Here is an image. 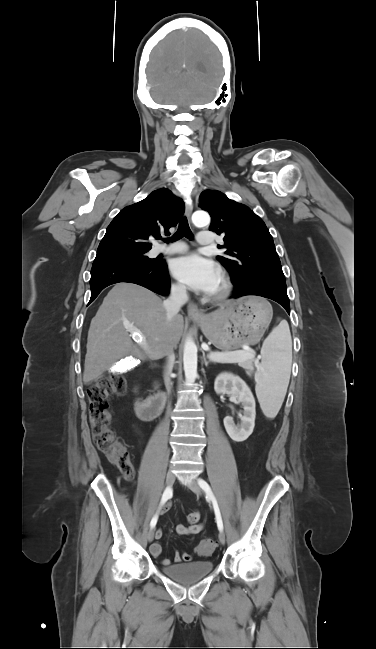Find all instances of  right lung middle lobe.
Wrapping results in <instances>:
<instances>
[{"instance_id": "right-lung-middle-lobe-1", "label": "right lung middle lobe", "mask_w": 376, "mask_h": 649, "mask_svg": "<svg viewBox=\"0 0 376 649\" xmlns=\"http://www.w3.org/2000/svg\"><path fill=\"white\" fill-rule=\"evenodd\" d=\"M148 251L138 252H112L105 254H98L93 262V266H99L111 262H126V263H141L151 264L155 262L154 259H149L145 254Z\"/></svg>"}]
</instances>
